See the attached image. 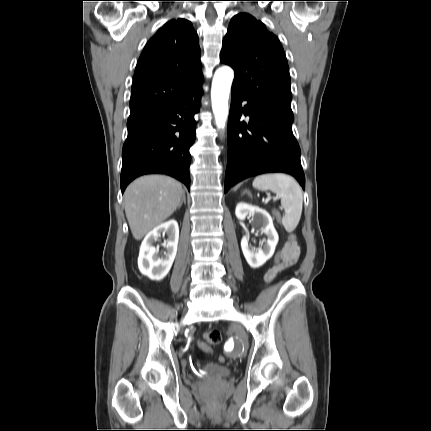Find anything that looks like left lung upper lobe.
<instances>
[{"label":"left lung upper lobe","mask_w":431,"mask_h":431,"mask_svg":"<svg viewBox=\"0 0 431 431\" xmlns=\"http://www.w3.org/2000/svg\"><path fill=\"white\" fill-rule=\"evenodd\" d=\"M220 58L235 70L232 86L251 100L293 115L286 56L278 38L263 23L245 13L234 16Z\"/></svg>","instance_id":"1"}]
</instances>
